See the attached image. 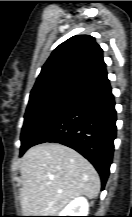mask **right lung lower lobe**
Masks as SVG:
<instances>
[{
	"label": "right lung lower lobe",
	"instance_id": "right-lung-lower-lobe-1",
	"mask_svg": "<svg viewBox=\"0 0 132 217\" xmlns=\"http://www.w3.org/2000/svg\"><path fill=\"white\" fill-rule=\"evenodd\" d=\"M115 137V101L108 82L78 95L32 146L56 142L73 148L96 168L103 189L110 172Z\"/></svg>",
	"mask_w": 132,
	"mask_h": 217
}]
</instances>
